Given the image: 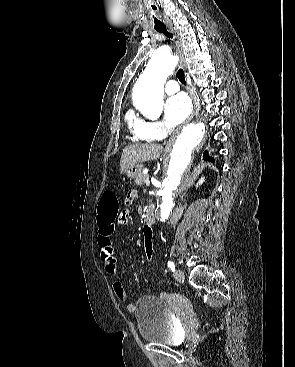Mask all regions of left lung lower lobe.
I'll list each match as a JSON object with an SVG mask.
<instances>
[{"label":"left lung lower lobe","instance_id":"1","mask_svg":"<svg viewBox=\"0 0 295 367\" xmlns=\"http://www.w3.org/2000/svg\"><path fill=\"white\" fill-rule=\"evenodd\" d=\"M203 158L206 159V160L210 159L211 161L214 162V159L212 157H209L207 151L204 152V157Z\"/></svg>","mask_w":295,"mask_h":367}]
</instances>
